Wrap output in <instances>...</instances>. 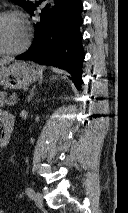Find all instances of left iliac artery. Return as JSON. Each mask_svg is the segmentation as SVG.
<instances>
[{
	"label": "left iliac artery",
	"mask_w": 128,
	"mask_h": 213,
	"mask_svg": "<svg viewBox=\"0 0 128 213\" xmlns=\"http://www.w3.org/2000/svg\"><path fill=\"white\" fill-rule=\"evenodd\" d=\"M26 194L30 197V198H33L34 196V190L30 187H27L26 190H25Z\"/></svg>",
	"instance_id": "left-iliac-artery-1"
}]
</instances>
